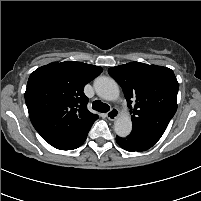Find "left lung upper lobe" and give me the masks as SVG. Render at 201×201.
Instances as JSON below:
<instances>
[{"label":"left lung upper lobe","mask_w":201,"mask_h":201,"mask_svg":"<svg viewBox=\"0 0 201 201\" xmlns=\"http://www.w3.org/2000/svg\"><path fill=\"white\" fill-rule=\"evenodd\" d=\"M108 73L122 87L133 113V129L164 133L177 110L179 84L174 72L167 67L130 62L111 67Z\"/></svg>","instance_id":"obj_1"}]
</instances>
